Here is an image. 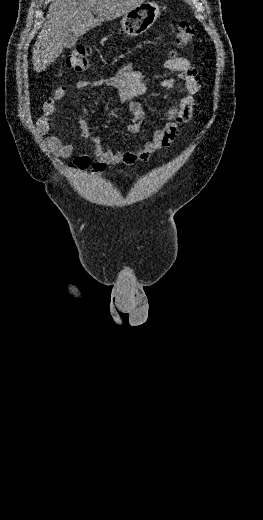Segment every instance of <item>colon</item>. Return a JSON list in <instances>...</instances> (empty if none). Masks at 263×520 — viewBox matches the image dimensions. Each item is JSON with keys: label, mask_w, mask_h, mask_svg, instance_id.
<instances>
[{"label": "colon", "mask_w": 263, "mask_h": 520, "mask_svg": "<svg viewBox=\"0 0 263 520\" xmlns=\"http://www.w3.org/2000/svg\"><path fill=\"white\" fill-rule=\"evenodd\" d=\"M195 34L196 30L188 20L181 21L176 32V45L180 48L186 47L192 42ZM90 53L91 49L88 46L75 48L65 60L66 67L76 72L87 70L90 62Z\"/></svg>", "instance_id": "colon-1"}]
</instances>
